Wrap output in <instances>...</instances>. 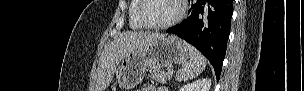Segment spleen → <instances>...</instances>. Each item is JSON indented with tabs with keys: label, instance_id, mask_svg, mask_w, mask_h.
Listing matches in <instances>:
<instances>
[{
	"label": "spleen",
	"instance_id": "obj_1",
	"mask_svg": "<svg viewBox=\"0 0 304 91\" xmlns=\"http://www.w3.org/2000/svg\"><path fill=\"white\" fill-rule=\"evenodd\" d=\"M187 48L189 50V61L184 63L176 74V80L179 82L197 77L206 67L205 57L195 47L187 44Z\"/></svg>",
	"mask_w": 304,
	"mask_h": 91
}]
</instances>
